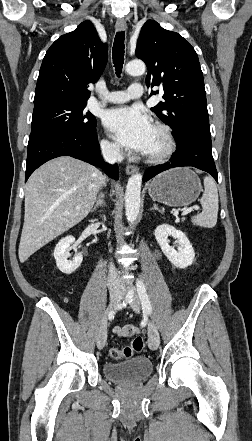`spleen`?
Masks as SVG:
<instances>
[{
    "mask_svg": "<svg viewBox=\"0 0 252 441\" xmlns=\"http://www.w3.org/2000/svg\"><path fill=\"white\" fill-rule=\"evenodd\" d=\"M202 212L192 217V223L205 228H213L218 216V191L211 177L204 178V192L200 199Z\"/></svg>",
    "mask_w": 252,
    "mask_h": 441,
    "instance_id": "spleen-1",
    "label": "spleen"
}]
</instances>
